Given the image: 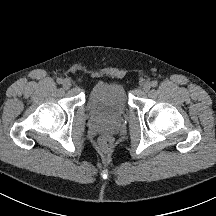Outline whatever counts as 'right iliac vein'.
Wrapping results in <instances>:
<instances>
[{
    "mask_svg": "<svg viewBox=\"0 0 216 216\" xmlns=\"http://www.w3.org/2000/svg\"><path fill=\"white\" fill-rule=\"evenodd\" d=\"M63 87H64L65 89H69V88L71 87V81H70L69 79H65V80L63 81Z\"/></svg>",
    "mask_w": 216,
    "mask_h": 216,
    "instance_id": "right-iliac-vein-1",
    "label": "right iliac vein"
}]
</instances>
